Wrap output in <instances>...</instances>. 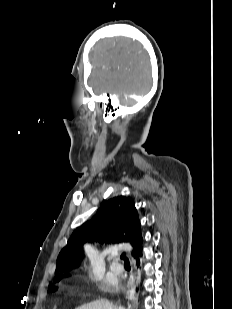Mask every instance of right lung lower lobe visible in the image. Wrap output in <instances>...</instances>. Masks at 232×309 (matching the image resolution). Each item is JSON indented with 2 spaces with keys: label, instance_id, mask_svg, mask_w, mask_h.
Returning <instances> with one entry per match:
<instances>
[{
  "label": "right lung lower lobe",
  "instance_id": "1",
  "mask_svg": "<svg viewBox=\"0 0 232 309\" xmlns=\"http://www.w3.org/2000/svg\"><path fill=\"white\" fill-rule=\"evenodd\" d=\"M142 256V255H141ZM141 256H139V257H141ZM136 265H137V267H139V265H140V262L138 261V258H137V263H136Z\"/></svg>",
  "mask_w": 232,
  "mask_h": 309
}]
</instances>
